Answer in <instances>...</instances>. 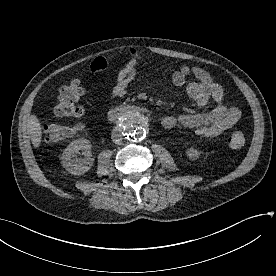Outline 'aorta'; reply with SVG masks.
I'll return each mask as SVG.
<instances>
[{
  "mask_svg": "<svg viewBox=\"0 0 276 276\" xmlns=\"http://www.w3.org/2000/svg\"><path fill=\"white\" fill-rule=\"evenodd\" d=\"M121 129L131 141H141L146 137L145 118L136 111L130 110L121 120Z\"/></svg>",
  "mask_w": 276,
  "mask_h": 276,
  "instance_id": "762f6f07",
  "label": "aorta"
}]
</instances>
